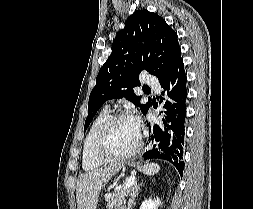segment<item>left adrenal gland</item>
<instances>
[{
    "mask_svg": "<svg viewBox=\"0 0 253 209\" xmlns=\"http://www.w3.org/2000/svg\"><path fill=\"white\" fill-rule=\"evenodd\" d=\"M141 185H142V183H140L139 185H137L136 183L134 184V186L131 190V194H130V198H129V201H128V208L127 209L132 208V205L134 204V199L138 195Z\"/></svg>",
    "mask_w": 253,
    "mask_h": 209,
    "instance_id": "obj_1",
    "label": "left adrenal gland"
}]
</instances>
